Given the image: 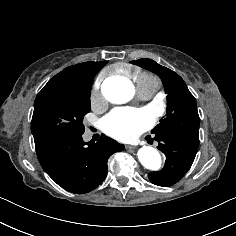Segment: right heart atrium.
Returning a JSON list of instances; mask_svg holds the SVG:
<instances>
[{"label":"right heart atrium","instance_id":"1","mask_svg":"<svg viewBox=\"0 0 236 236\" xmlns=\"http://www.w3.org/2000/svg\"><path fill=\"white\" fill-rule=\"evenodd\" d=\"M102 80H103V76H100L95 82V92L97 95H99V88L102 83Z\"/></svg>","mask_w":236,"mask_h":236}]
</instances>
